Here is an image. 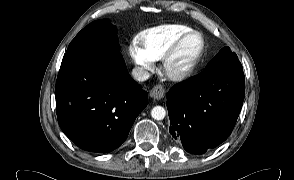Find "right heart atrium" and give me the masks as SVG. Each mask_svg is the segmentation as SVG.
<instances>
[{"instance_id": "d8ad5b80", "label": "right heart atrium", "mask_w": 294, "mask_h": 180, "mask_svg": "<svg viewBox=\"0 0 294 180\" xmlns=\"http://www.w3.org/2000/svg\"><path fill=\"white\" fill-rule=\"evenodd\" d=\"M128 53L137 68L142 72H148L153 66V59L139 42L133 40L128 46Z\"/></svg>"}]
</instances>
